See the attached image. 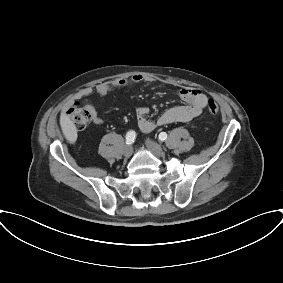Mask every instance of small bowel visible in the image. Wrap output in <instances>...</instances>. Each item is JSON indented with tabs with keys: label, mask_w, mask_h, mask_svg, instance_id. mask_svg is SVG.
Segmentation results:
<instances>
[{
	"label": "small bowel",
	"mask_w": 283,
	"mask_h": 283,
	"mask_svg": "<svg viewBox=\"0 0 283 283\" xmlns=\"http://www.w3.org/2000/svg\"><path fill=\"white\" fill-rule=\"evenodd\" d=\"M154 78L144 75H134L129 79H120L114 82H104L96 86L95 90L85 88L79 93V98L86 102L92 113V120L95 124H103L104 120L99 116L94 107L89 103L88 98L96 92L100 96H105L115 89L129 88L139 83H153ZM180 98L186 103L177 105L165 110L156 120L148 119L149 108L139 106L136 108V119L140 130L144 133L153 131L158 126L171 124L174 122H188L199 116L203 108L208 103V97L198 89L185 88L179 93Z\"/></svg>",
	"instance_id": "c3829d8e"
}]
</instances>
